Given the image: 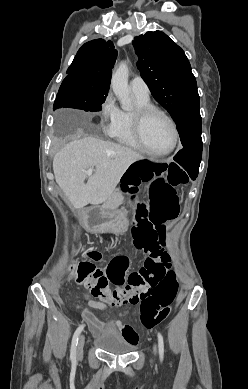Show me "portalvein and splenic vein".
I'll return each mask as SVG.
<instances>
[{
    "label": "portal vein and splenic vein",
    "mask_w": 248,
    "mask_h": 389,
    "mask_svg": "<svg viewBox=\"0 0 248 389\" xmlns=\"http://www.w3.org/2000/svg\"><path fill=\"white\" fill-rule=\"evenodd\" d=\"M87 173V175H92V173H93V168H90V169H88V171L86 172Z\"/></svg>",
    "instance_id": "1"
}]
</instances>
